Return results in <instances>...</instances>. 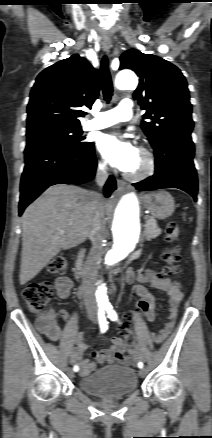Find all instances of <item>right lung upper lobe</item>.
I'll use <instances>...</instances> for the list:
<instances>
[{"label": "right lung upper lobe", "instance_id": "cb5924a9", "mask_svg": "<svg viewBox=\"0 0 212 438\" xmlns=\"http://www.w3.org/2000/svg\"><path fill=\"white\" fill-rule=\"evenodd\" d=\"M99 95L98 70L75 54L61 60L37 77L27 107V130L44 125L80 127L79 117Z\"/></svg>", "mask_w": 212, "mask_h": 438}]
</instances>
